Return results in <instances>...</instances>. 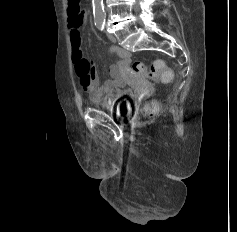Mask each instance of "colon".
Wrapping results in <instances>:
<instances>
[{"mask_svg":"<svg viewBox=\"0 0 237 232\" xmlns=\"http://www.w3.org/2000/svg\"><path fill=\"white\" fill-rule=\"evenodd\" d=\"M68 12L71 17H81L84 14L80 0H69ZM135 73L149 80L157 82H168L172 78L171 70L161 60H156L150 67H146L143 63L135 61L132 65ZM154 105H149L146 112L151 114L155 111Z\"/></svg>","mask_w":237,"mask_h":232,"instance_id":"5ec220e1","label":"colon"}]
</instances>
